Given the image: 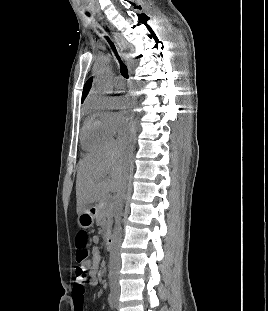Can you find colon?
<instances>
[{
  "label": "colon",
  "instance_id": "1",
  "mask_svg": "<svg viewBox=\"0 0 268 311\" xmlns=\"http://www.w3.org/2000/svg\"><path fill=\"white\" fill-rule=\"evenodd\" d=\"M88 237L87 233L82 231L76 237V270L75 275L77 280L82 281L87 277L88 268H89V253L87 250ZM84 288H81V291H84Z\"/></svg>",
  "mask_w": 268,
  "mask_h": 311
}]
</instances>
